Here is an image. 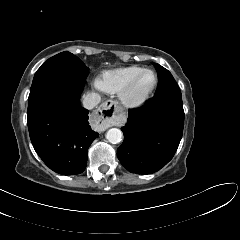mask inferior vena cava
Returning a JSON list of instances; mask_svg holds the SVG:
<instances>
[{
	"mask_svg": "<svg viewBox=\"0 0 240 240\" xmlns=\"http://www.w3.org/2000/svg\"><path fill=\"white\" fill-rule=\"evenodd\" d=\"M101 101V97L97 93H88L83 98V106L86 109H93L96 107Z\"/></svg>",
	"mask_w": 240,
	"mask_h": 240,
	"instance_id": "1",
	"label": "inferior vena cava"
}]
</instances>
